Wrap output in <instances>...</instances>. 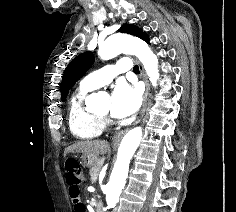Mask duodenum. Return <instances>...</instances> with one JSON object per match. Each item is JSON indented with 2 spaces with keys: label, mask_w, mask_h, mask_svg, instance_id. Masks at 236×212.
<instances>
[{
  "label": "duodenum",
  "mask_w": 236,
  "mask_h": 212,
  "mask_svg": "<svg viewBox=\"0 0 236 212\" xmlns=\"http://www.w3.org/2000/svg\"><path fill=\"white\" fill-rule=\"evenodd\" d=\"M95 210H96V212H103L102 204L98 200L96 201V204H95Z\"/></svg>",
  "instance_id": "1"
}]
</instances>
